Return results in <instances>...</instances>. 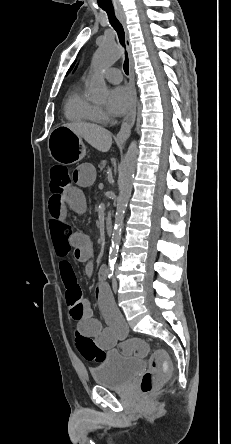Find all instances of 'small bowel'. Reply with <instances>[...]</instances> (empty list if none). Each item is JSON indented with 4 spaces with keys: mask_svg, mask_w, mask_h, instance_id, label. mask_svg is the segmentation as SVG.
<instances>
[{
    "mask_svg": "<svg viewBox=\"0 0 231 444\" xmlns=\"http://www.w3.org/2000/svg\"><path fill=\"white\" fill-rule=\"evenodd\" d=\"M96 179L93 165L82 163L71 174L72 186L60 198L50 197L49 200V232L56 254L61 258L59 270L66 289V301L69 313L77 323V330L84 336L92 338L102 350L112 349L127 334V325L119 313L109 287L102 281L105 270L99 273L100 283L95 293L99 305L106 316L107 326L95 318L89 301L82 297L69 254L79 263L87 264L91 270L93 250L89 237L80 231H75L66 222L67 209L83 214L87 209L86 198L80 188L90 186Z\"/></svg>",
    "mask_w": 231,
    "mask_h": 444,
    "instance_id": "small-bowel-1",
    "label": "small bowel"
}]
</instances>
